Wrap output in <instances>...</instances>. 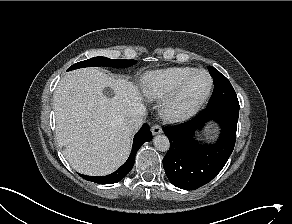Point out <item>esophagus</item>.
<instances>
[{"label":"esophagus","instance_id":"1","mask_svg":"<svg viewBox=\"0 0 292 224\" xmlns=\"http://www.w3.org/2000/svg\"><path fill=\"white\" fill-rule=\"evenodd\" d=\"M151 132L153 135H157L162 133V128L159 125H153L151 128Z\"/></svg>","mask_w":292,"mask_h":224}]
</instances>
